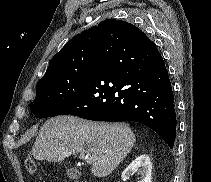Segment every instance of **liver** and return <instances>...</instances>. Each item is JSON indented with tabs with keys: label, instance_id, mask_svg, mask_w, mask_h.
<instances>
[{
	"label": "liver",
	"instance_id": "6515ba94",
	"mask_svg": "<svg viewBox=\"0 0 211 182\" xmlns=\"http://www.w3.org/2000/svg\"><path fill=\"white\" fill-rule=\"evenodd\" d=\"M136 138L124 123H93L74 116L47 120L32 148L37 160L61 162L72 154L95 156L91 173L106 177L128 155Z\"/></svg>",
	"mask_w": 211,
	"mask_h": 182
}]
</instances>
